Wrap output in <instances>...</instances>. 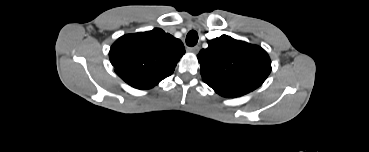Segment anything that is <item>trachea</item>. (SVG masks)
<instances>
[{
  "instance_id": "3493384b",
  "label": "trachea",
  "mask_w": 369,
  "mask_h": 152,
  "mask_svg": "<svg viewBox=\"0 0 369 152\" xmlns=\"http://www.w3.org/2000/svg\"><path fill=\"white\" fill-rule=\"evenodd\" d=\"M198 42V34L195 30L189 31L186 37V44L190 47H193Z\"/></svg>"
}]
</instances>
